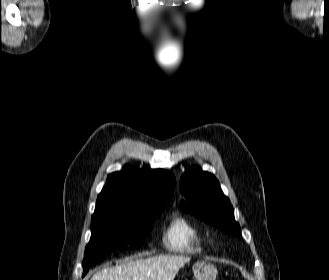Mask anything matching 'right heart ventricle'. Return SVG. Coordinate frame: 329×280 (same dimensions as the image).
<instances>
[{"instance_id":"right-heart-ventricle-1","label":"right heart ventricle","mask_w":329,"mask_h":280,"mask_svg":"<svg viewBox=\"0 0 329 280\" xmlns=\"http://www.w3.org/2000/svg\"><path fill=\"white\" fill-rule=\"evenodd\" d=\"M165 245L173 252L197 253L202 250V235L188 219L176 216L166 231Z\"/></svg>"}]
</instances>
